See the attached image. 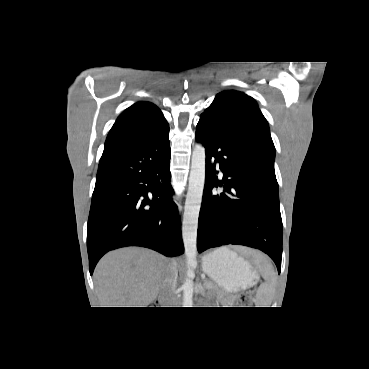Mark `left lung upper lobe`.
Listing matches in <instances>:
<instances>
[{
  "label": "left lung upper lobe",
  "instance_id": "obj_1",
  "mask_svg": "<svg viewBox=\"0 0 369 369\" xmlns=\"http://www.w3.org/2000/svg\"><path fill=\"white\" fill-rule=\"evenodd\" d=\"M201 117L212 119L228 134L251 144L274 165L275 147L268 122L250 96L235 90L223 91Z\"/></svg>",
  "mask_w": 369,
  "mask_h": 369
}]
</instances>
